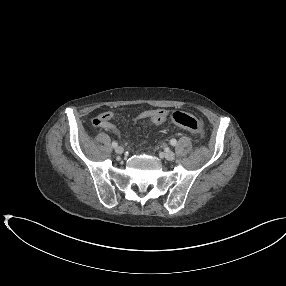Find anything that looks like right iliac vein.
I'll return each instance as SVG.
<instances>
[{"label": "right iliac vein", "instance_id": "right-iliac-vein-1", "mask_svg": "<svg viewBox=\"0 0 286 286\" xmlns=\"http://www.w3.org/2000/svg\"><path fill=\"white\" fill-rule=\"evenodd\" d=\"M115 152H116L117 154H122V153L124 152V149H123V147H121V146H117V147L115 148Z\"/></svg>", "mask_w": 286, "mask_h": 286}]
</instances>
